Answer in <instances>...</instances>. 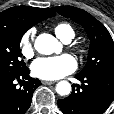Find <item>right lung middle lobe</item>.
<instances>
[{
	"instance_id": "1",
	"label": "right lung middle lobe",
	"mask_w": 114,
	"mask_h": 114,
	"mask_svg": "<svg viewBox=\"0 0 114 114\" xmlns=\"http://www.w3.org/2000/svg\"><path fill=\"white\" fill-rule=\"evenodd\" d=\"M26 31L21 27L0 26V77L13 76L26 68L19 47Z\"/></svg>"
}]
</instances>
